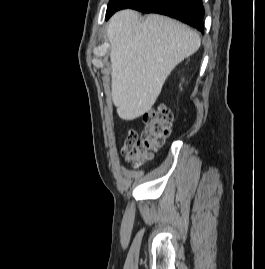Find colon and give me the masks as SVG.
Here are the masks:
<instances>
[{"label":"colon","instance_id":"obj_1","mask_svg":"<svg viewBox=\"0 0 265 269\" xmlns=\"http://www.w3.org/2000/svg\"><path fill=\"white\" fill-rule=\"evenodd\" d=\"M145 129L138 137L134 129L128 131L123 152L134 166L153 158L154 152L164 143L170 134L172 113L164 105H159L143 115Z\"/></svg>","mask_w":265,"mask_h":269}]
</instances>
